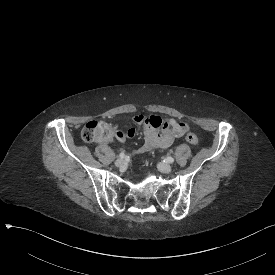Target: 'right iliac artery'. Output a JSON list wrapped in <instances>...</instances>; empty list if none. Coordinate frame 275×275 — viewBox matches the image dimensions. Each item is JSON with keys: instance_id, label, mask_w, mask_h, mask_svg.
Returning <instances> with one entry per match:
<instances>
[{"instance_id": "right-iliac-artery-1", "label": "right iliac artery", "mask_w": 275, "mask_h": 275, "mask_svg": "<svg viewBox=\"0 0 275 275\" xmlns=\"http://www.w3.org/2000/svg\"><path fill=\"white\" fill-rule=\"evenodd\" d=\"M119 157H120L121 159H123V158H125V157H126V155H125V153H124V152H121V153L119 154Z\"/></svg>"}]
</instances>
